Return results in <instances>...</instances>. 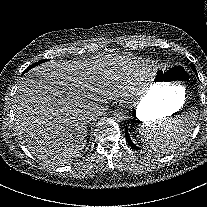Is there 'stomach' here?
Segmentation results:
<instances>
[{
  "label": "stomach",
  "instance_id": "1",
  "mask_svg": "<svg viewBox=\"0 0 207 207\" xmlns=\"http://www.w3.org/2000/svg\"><path fill=\"white\" fill-rule=\"evenodd\" d=\"M189 75L183 65L156 69L153 83L136 106L137 118L154 123L179 111L185 102V87Z\"/></svg>",
  "mask_w": 207,
  "mask_h": 207
}]
</instances>
